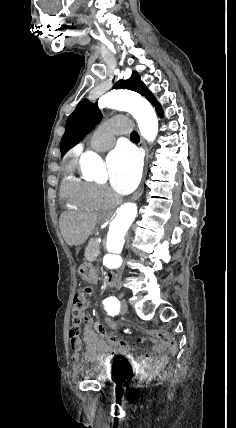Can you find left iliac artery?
<instances>
[{
	"label": "left iliac artery",
	"instance_id": "44dca946",
	"mask_svg": "<svg viewBox=\"0 0 236 428\" xmlns=\"http://www.w3.org/2000/svg\"><path fill=\"white\" fill-rule=\"evenodd\" d=\"M104 308L106 311H112L117 307H120V302L116 297H109L103 300Z\"/></svg>",
	"mask_w": 236,
	"mask_h": 428
}]
</instances>
